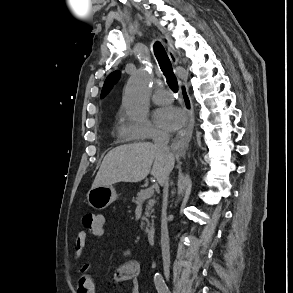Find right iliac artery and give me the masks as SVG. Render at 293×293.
Instances as JSON below:
<instances>
[{
  "instance_id": "right-iliac-artery-1",
  "label": "right iliac artery",
  "mask_w": 293,
  "mask_h": 293,
  "mask_svg": "<svg viewBox=\"0 0 293 293\" xmlns=\"http://www.w3.org/2000/svg\"><path fill=\"white\" fill-rule=\"evenodd\" d=\"M154 283L158 293H170L168 287L165 284V281L163 280V277L159 273L155 274Z\"/></svg>"
}]
</instances>
